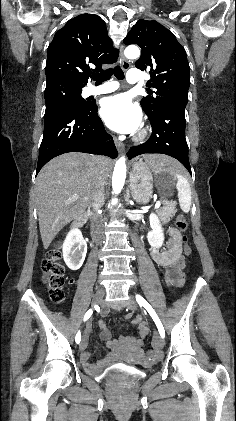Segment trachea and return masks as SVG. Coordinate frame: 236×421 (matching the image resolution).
<instances>
[{"mask_svg":"<svg viewBox=\"0 0 236 421\" xmlns=\"http://www.w3.org/2000/svg\"><path fill=\"white\" fill-rule=\"evenodd\" d=\"M113 74L118 80H123L125 77L121 67L116 65L114 68H108L104 72L92 75V79L95 80L96 83H102L109 80Z\"/></svg>","mask_w":236,"mask_h":421,"instance_id":"trachea-1","label":"trachea"}]
</instances>
